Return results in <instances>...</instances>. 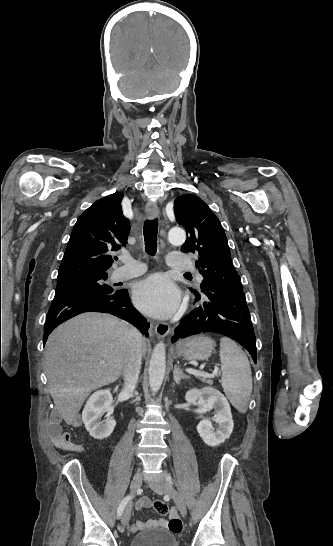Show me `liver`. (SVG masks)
I'll return each mask as SVG.
<instances>
[{"label": "liver", "instance_id": "obj_1", "mask_svg": "<svg viewBox=\"0 0 333 546\" xmlns=\"http://www.w3.org/2000/svg\"><path fill=\"white\" fill-rule=\"evenodd\" d=\"M125 324L112 315L83 313L58 326L46 343V376L55 409L73 424L92 390L116 381L124 367ZM142 353L146 343L142 340ZM105 361L104 364L100 361Z\"/></svg>", "mask_w": 333, "mask_h": 546}]
</instances>
